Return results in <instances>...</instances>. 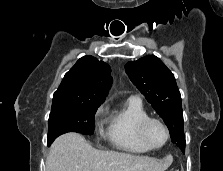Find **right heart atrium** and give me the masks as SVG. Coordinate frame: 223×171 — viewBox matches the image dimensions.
<instances>
[{"instance_id": "obj_1", "label": "right heart atrium", "mask_w": 223, "mask_h": 171, "mask_svg": "<svg viewBox=\"0 0 223 171\" xmlns=\"http://www.w3.org/2000/svg\"><path fill=\"white\" fill-rule=\"evenodd\" d=\"M105 111H106V106L105 105L100 106L96 111V117L97 118L101 117L105 113ZM97 125L99 128L101 127L100 123H98Z\"/></svg>"}]
</instances>
